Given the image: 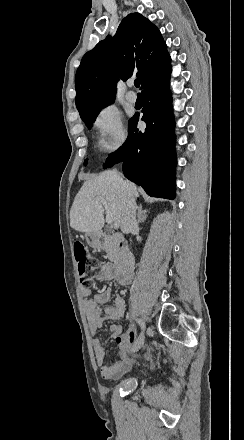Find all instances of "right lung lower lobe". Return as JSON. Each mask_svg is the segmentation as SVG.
Listing matches in <instances>:
<instances>
[{
    "label": "right lung lower lobe",
    "instance_id": "1",
    "mask_svg": "<svg viewBox=\"0 0 244 440\" xmlns=\"http://www.w3.org/2000/svg\"><path fill=\"white\" fill-rule=\"evenodd\" d=\"M170 63L153 72L142 84V120L145 131L137 129L139 116L128 124L126 142L106 160L104 168L123 161V173L153 197H175V135L169 91Z\"/></svg>",
    "mask_w": 244,
    "mask_h": 440
}]
</instances>
